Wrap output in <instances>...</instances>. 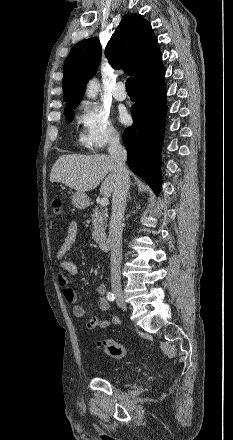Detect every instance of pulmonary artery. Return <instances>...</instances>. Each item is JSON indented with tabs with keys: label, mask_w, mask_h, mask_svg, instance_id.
<instances>
[{
	"label": "pulmonary artery",
	"mask_w": 233,
	"mask_h": 440,
	"mask_svg": "<svg viewBox=\"0 0 233 440\" xmlns=\"http://www.w3.org/2000/svg\"><path fill=\"white\" fill-rule=\"evenodd\" d=\"M113 96L118 101H124L127 98V93L124 90V85L122 82H117L114 90Z\"/></svg>",
	"instance_id": "obj_1"
}]
</instances>
